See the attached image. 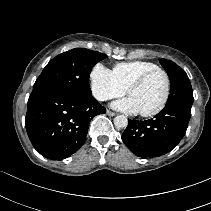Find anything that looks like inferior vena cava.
I'll use <instances>...</instances> for the list:
<instances>
[{
  "instance_id": "602c4592",
  "label": "inferior vena cava",
  "mask_w": 211,
  "mask_h": 211,
  "mask_svg": "<svg viewBox=\"0 0 211 211\" xmlns=\"http://www.w3.org/2000/svg\"><path fill=\"white\" fill-rule=\"evenodd\" d=\"M97 97H98L99 100H102V101L108 100V98H109L108 95H106L105 93H99L97 95Z\"/></svg>"
}]
</instances>
